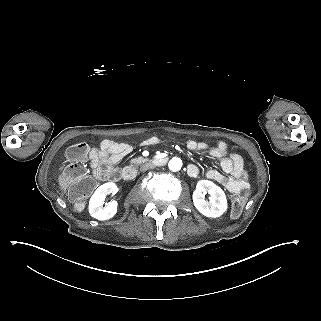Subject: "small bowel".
<instances>
[{
	"label": "small bowel",
	"instance_id": "c3829d8e",
	"mask_svg": "<svg viewBox=\"0 0 321 321\" xmlns=\"http://www.w3.org/2000/svg\"><path fill=\"white\" fill-rule=\"evenodd\" d=\"M159 141L158 137L151 136L144 139L142 144L153 146L158 144ZM187 148L190 151H205L220 161V167L225 174L215 169H208L205 172L206 178L220 183L232 193H240L242 190L249 188L248 176L244 169L242 157L236 153H229L225 142L218 141L214 147H209L206 143L189 140ZM131 151L132 147L129 144L118 143L110 139L102 140L100 146L92 149L89 155L94 175L98 179L116 177L115 165ZM199 172L197 165L190 164L188 166L190 176L196 177Z\"/></svg>",
	"mask_w": 321,
	"mask_h": 321
}]
</instances>
